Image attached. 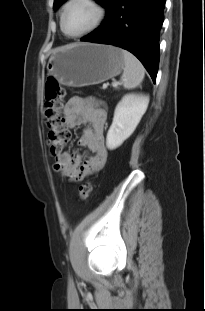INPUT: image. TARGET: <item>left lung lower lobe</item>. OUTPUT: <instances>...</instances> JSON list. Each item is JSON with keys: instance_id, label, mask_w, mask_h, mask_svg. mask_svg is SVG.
Here are the masks:
<instances>
[{"instance_id": "0a47b994", "label": "left lung lower lobe", "mask_w": 205, "mask_h": 311, "mask_svg": "<svg viewBox=\"0 0 205 311\" xmlns=\"http://www.w3.org/2000/svg\"><path fill=\"white\" fill-rule=\"evenodd\" d=\"M165 0H114L101 26L81 39L111 44L134 54L155 83Z\"/></svg>"}]
</instances>
